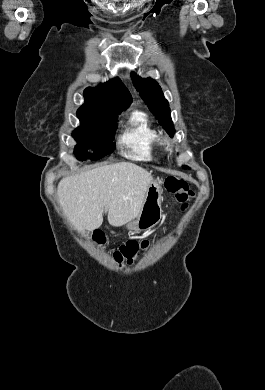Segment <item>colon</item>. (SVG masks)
Listing matches in <instances>:
<instances>
[{"label": "colon", "mask_w": 265, "mask_h": 390, "mask_svg": "<svg viewBox=\"0 0 265 390\" xmlns=\"http://www.w3.org/2000/svg\"><path fill=\"white\" fill-rule=\"evenodd\" d=\"M165 188L168 192L175 196L178 202L182 204L183 210L187 208V202L194 196V193L189 188L188 183L177 177H167L165 179ZM94 239L99 244L103 243V236L101 234H96ZM149 244L150 241L147 239L128 241L113 252V259L119 265H130L136 261L139 252L144 251Z\"/></svg>", "instance_id": "1"}]
</instances>
